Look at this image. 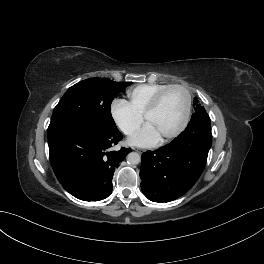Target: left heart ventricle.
Returning a JSON list of instances; mask_svg holds the SVG:
<instances>
[{"label":"left heart ventricle","instance_id":"1","mask_svg":"<svg viewBox=\"0 0 264 264\" xmlns=\"http://www.w3.org/2000/svg\"><path fill=\"white\" fill-rule=\"evenodd\" d=\"M186 97L179 89L170 90L162 99L159 107L148 116L151 124L161 137L173 132L181 123Z\"/></svg>","mask_w":264,"mask_h":264}]
</instances>
